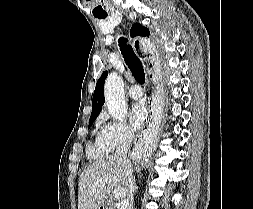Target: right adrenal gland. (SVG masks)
Here are the masks:
<instances>
[{
  "label": "right adrenal gland",
  "mask_w": 253,
  "mask_h": 209,
  "mask_svg": "<svg viewBox=\"0 0 253 209\" xmlns=\"http://www.w3.org/2000/svg\"><path fill=\"white\" fill-rule=\"evenodd\" d=\"M138 189V186L135 184V190H137Z\"/></svg>",
  "instance_id": "obj_1"
}]
</instances>
